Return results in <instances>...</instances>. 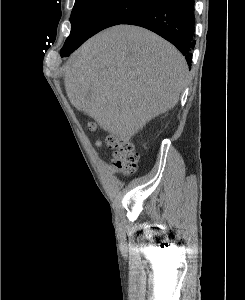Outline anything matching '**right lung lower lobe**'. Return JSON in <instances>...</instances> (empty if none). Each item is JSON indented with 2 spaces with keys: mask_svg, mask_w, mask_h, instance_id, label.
Instances as JSON below:
<instances>
[{
  "mask_svg": "<svg viewBox=\"0 0 245 300\" xmlns=\"http://www.w3.org/2000/svg\"><path fill=\"white\" fill-rule=\"evenodd\" d=\"M122 24L149 29L174 44L191 63L194 48V0H156L149 7ZM80 45L61 54L69 56Z\"/></svg>",
  "mask_w": 245,
  "mask_h": 300,
  "instance_id": "obj_1",
  "label": "right lung lower lobe"
}]
</instances>
